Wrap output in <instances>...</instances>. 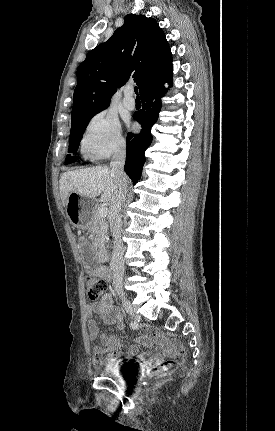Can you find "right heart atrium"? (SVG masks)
<instances>
[{
	"label": "right heart atrium",
	"instance_id": "obj_1",
	"mask_svg": "<svg viewBox=\"0 0 275 431\" xmlns=\"http://www.w3.org/2000/svg\"><path fill=\"white\" fill-rule=\"evenodd\" d=\"M125 148L120 122L116 115L103 110L88 122L81 140V149L94 160H101Z\"/></svg>",
	"mask_w": 275,
	"mask_h": 431
}]
</instances>
